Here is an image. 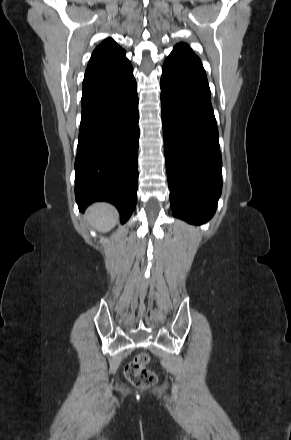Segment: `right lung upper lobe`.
<instances>
[{"label":"right lung upper lobe","instance_id":"right-lung-upper-lobe-1","mask_svg":"<svg viewBox=\"0 0 291 440\" xmlns=\"http://www.w3.org/2000/svg\"><path fill=\"white\" fill-rule=\"evenodd\" d=\"M129 66L125 51L112 38H107L92 53L85 78L114 74Z\"/></svg>","mask_w":291,"mask_h":440}]
</instances>
